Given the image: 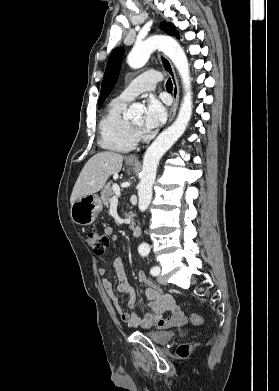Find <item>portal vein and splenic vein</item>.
<instances>
[{
    "label": "portal vein and splenic vein",
    "mask_w": 279,
    "mask_h": 391,
    "mask_svg": "<svg viewBox=\"0 0 279 391\" xmlns=\"http://www.w3.org/2000/svg\"><path fill=\"white\" fill-rule=\"evenodd\" d=\"M113 189H114V192H115V196L112 197L111 203H118V198L121 195L120 189H119V187L116 184L113 186Z\"/></svg>",
    "instance_id": "portal-vein-and-splenic-vein-1"
}]
</instances>
